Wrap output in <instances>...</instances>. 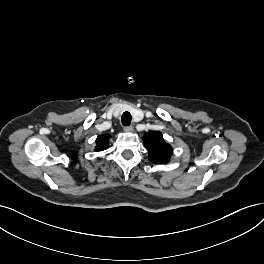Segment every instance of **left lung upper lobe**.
Returning a JSON list of instances; mask_svg holds the SVG:
<instances>
[{
	"label": "left lung upper lobe",
	"instance_id": "left-lung-upper-lobe-1",
	"mask_svg": "<svg viewBox=\"0 0 264 264\" xmlns=\"http://www.w3.org/2000/svg\"><path fill=\"white\" fill-rule=\"evenodd\" d=\"M144 145L149 151V160L160 164L167 163L172 155V147L166 143L160 132L150 131L143 138Z\"/></svg>",
	"mask_w": 264,
	"mask_h": 264
}]
</instances>
